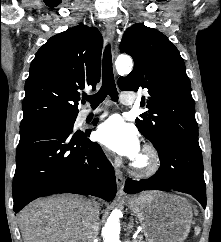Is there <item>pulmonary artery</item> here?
<instances>
[{"instance_id":"1","label":"pulmonary artery","mask_w":221,"mask_h":242,"mask_svg":"<svg viewBox=\"0 0 221 242\" xmlns=\"http://www.w3.org/2000/svg\"><path fill=\"white\" fill-rule=\"evenodd\" d=\"M121 101L125 105H132L134 103L133 95L131 93L123 92L122 95H121ZM101 112H102V109H100V108H97V109H94V110L86 109V110L83 111L82 117L87 118L89 116H95V115L100 114Z\"/></svg>"}]
</instances>
